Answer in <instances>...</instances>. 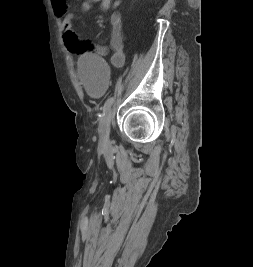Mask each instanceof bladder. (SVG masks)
Wrapping results in <instances>:
<instances>
[{
	"label": "bladder",
	"mask_w": 253,
	"mask_h": 267,
	"mask_svg": "<svg viewBox=\"0 0 253 267\" xmlns=\"http://www.w3.org/2000/svg\"><path fill=\"white\" fill-rule=\"evenodd\" d=\"M77 75L86 92L101 96L107 88V66L103 57L86 53L78 61Z\"/></svg>",
	"instance_id": "1"
}]
</instances>
